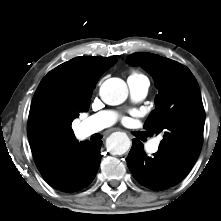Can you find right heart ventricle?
Segmentation results:
<instances>
[{"mask_svg":"<svg viewBox=\"0 0 221 221\" xmlns=\"http://www.w3.org/2000/svg\"><path fill=\"white\" fill-rule=\"evenodd\" d=\"M139 75H142V74H140L138 72H133L131 76H139Z\"/></svg>","mask_w":221,"mask_h":221,"instance_id":"e07e8e85","label":"right heart ventricle"}]
</instances>
